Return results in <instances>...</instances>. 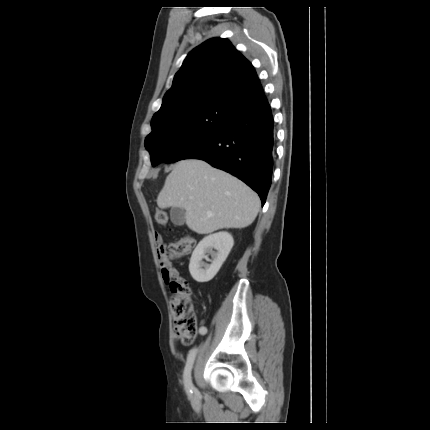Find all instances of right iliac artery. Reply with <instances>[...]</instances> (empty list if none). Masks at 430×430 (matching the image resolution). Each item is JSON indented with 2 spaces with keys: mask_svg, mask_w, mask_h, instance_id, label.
I'll return each mask as SVG.
<instances>
[{
  "mask_svg": "<svg viewBox=\"0 0 430 430\" xmlns=\"http://www.w3.org/2000/svg\"><path fill=\"white\" fill-rule=\"evenodd\" d=\"M205 333H206L205 330H200V335H205ZM196 352H197L196 347L192 348L189 351V354L187 356L186 366L184 369V374H183L184 385L186 388V392L189 396L193 393V384H192V380H191V369L193 366Z\"/></svg>",
  "mask_w": 430,
  "mask_h": 430,
  "instance_id": "right-iliac-artery-1",
  "label": "right iliac artery"
}]
</instances>
